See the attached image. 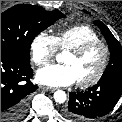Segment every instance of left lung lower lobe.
I'll use <instances>...</instances> for the list:
<instances>
[{"label": "left lung lower lobe", "instance_id": "1", "mask_svg": "<svg viewBox=\"0 0 122 122\" xmlns=\"http://www.w3.org/2000/svg\"><path fill=\"white\" fill-rule=\"evenodd\" d=\"M122 95V75H113L85 92H72L63 114L76 122H87L108 114Z\"/></svg>", "mask_w": 122, "mask_h": 122}]
</instances>
